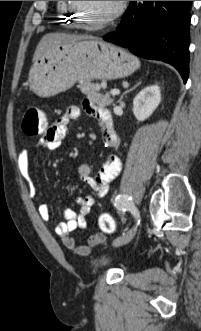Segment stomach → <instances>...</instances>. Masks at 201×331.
<instances>
[{"instance_id": "0dacf381", "label": "stomach", "mask_w": 201, "mask_h": 331, "mask_svg": "<svg viewBox=\"0 0 201 331\" xmlns=\"http://www.w3.org/2000/svg\"><path fill=\"white\" fill-rule=\"evenodd\" d=\"M140 66L125 49L101 39L81 40L57 46L36 60L29 83L40 97H51L78 81L125 78Z\"/></svg>"}]
</instances>
